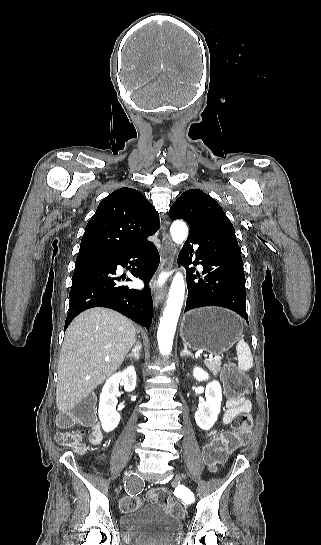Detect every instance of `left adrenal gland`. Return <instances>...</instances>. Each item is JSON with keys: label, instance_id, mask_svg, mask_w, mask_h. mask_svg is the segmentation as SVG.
<instances>
[{"label": "left adrenal gland", "instance_id": "left-adrenal-gland-1", "mask_svg": "<svg viewBox=\"0 0 321 545\" xmlns=\"http://www.w3.org/2000/svg\"><path fill=\"white\" fill-rule=\"evenodd\" d=\"M180 357H192V359H194V355H192V353H190V351H187L186 345H184V349H183V351H181Z\"/></svg>", "mask_w": 321, "mask_h": 545}]
</instances>
